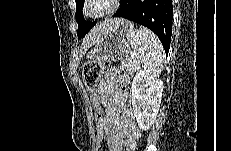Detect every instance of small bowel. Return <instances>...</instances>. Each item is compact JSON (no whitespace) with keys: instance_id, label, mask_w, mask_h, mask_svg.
<instances>
[{"instance_id":"c3829d8e","label":"small bowel","mask_w":231,"mask_h":151,"mask_svg":"<svg viewBox=\"0 0 231 151\" xmlns=\"http://www.w3.org/2000/svg\"><path fill=\"white\" fill-rule=\"evenodd\" d=\"M124 81H126L124 77H119L114 71H108L97 90L110 130L111 151H121L123 146L132 149L135 140L140 136L139 128L130 118V111L125 103L126 97L118 91L119 84Z\"/></svg>"}]
</instances>
